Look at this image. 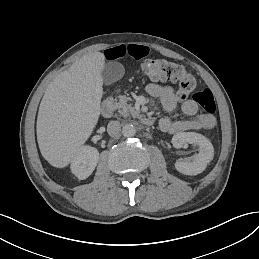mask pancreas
I'll return each mask as SVG.
<instances>
[{
    "label": "pancreas",
    "mask_w": 259,
    "mask_h": 259,
    "mask_svg": "<svg viewBox=\"0 0 259 259\" xmlns=\"http://www.w3.org/2000/svg\"><path fill=\"white\" fill-rule=\"evenodd\" d=\"M133 100L130 97H126L125 95L121 96L119 98V101L117 102L119 113L127 116L128 114H131L133 118H140L142 117L138 111H136L129 102H132Z\"/></svg>",
    "instance_id": "pancreas-1"
}]
</instances>
